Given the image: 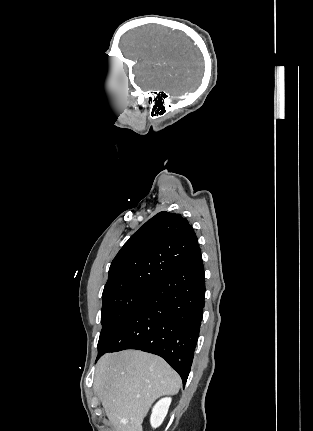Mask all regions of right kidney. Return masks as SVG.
Here are the masks:
<instances>
[{
	"label": "right kidney",
	"mask_w": 313,
	"mask_h": 431,
	"mask_svg": "<svg viewBox=\"0 0 313 431\" xmlns=\"http://www.w3.org/2000/svg\"><path fill=\"white\" fill-rule=\"evenodd\" d=\"M170 404L171 398H163L155 404L150 418V423L153 428H157L162 424L168 413Z\"/></svg>",
	"instance_id": "obj_1"
}]
</instances>
